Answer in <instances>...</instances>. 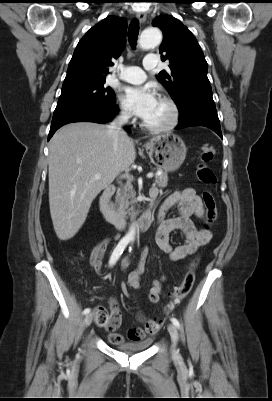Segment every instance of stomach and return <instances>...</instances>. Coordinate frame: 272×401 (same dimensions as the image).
Listing matches in <instances>:
<instances>
[{"instance_id": "obj_1", "label": "stomach", "mask_w": 272, "mask_h": 401, "mask_svg": "<svg viewBox=\"0 0 272 401\" xmlns=\"http://www.w3.org/2000/svg\"><path fill=\"white\" fill-rule=\"evenodd\" d=\"M145 148L151 161L166 172L177 170L187 152L183 140L173 133L156 136L146 143Z\"/></svg>"}]
</instances>
